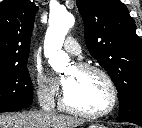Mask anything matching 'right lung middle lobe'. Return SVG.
Masks as SVG:
<instances>
[{"instance_id":"dd1d6c3e","label":"right lung middle lobe","mask_w":142,"mask_h":128,"mask_svg":"<svg viewBox=\"0 0 142 128\" xmlns=\"http://www.w3.org/2000/svg\"><path fill=\"white\" fill-rule=\"evenodd\" d=\"M33 101V89L27 64L0 68V107L27 108Z\"/></svg>"}]
</instances>
